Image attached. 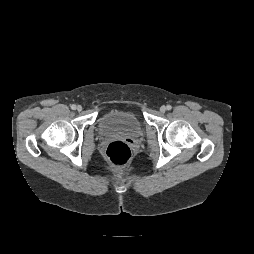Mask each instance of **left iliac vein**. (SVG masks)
Masks as SVG:
<instances>
[{
	"mask_svg": "<svg viewBox=\"0 0 254 254\" xmlns=\"http://www.w3.org/2000/svg\"><path fill=\"white\" fill-rule=\"evenodd\" d=\"M165 111H166V107H165V106H161V107H160V112H161V113H164Z\"/></svg>",
	"mask_w": 254,
	"mask_h": 254,
	"instance_id": "1",
	"label": "left iliac vein"
}]
</instances>
